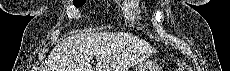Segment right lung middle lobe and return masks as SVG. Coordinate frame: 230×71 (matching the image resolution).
<instances>
[{
  "instance_id": "1",
  "label": "right lung middle lobe",
  "mask_w": 230,
  "mask_h": 71,
  "mask_svg": "<svg viewBox=\"0 0 230 71\" xmlns=\"http://www.w3.org/2000/svg\"><path fill=\"white\" fill-rule=\"evenodd\" d=\"M85 2H86V0H74L73 4H74L76 7H80V6H82Z\"/></svg>"
}]
</instances>
